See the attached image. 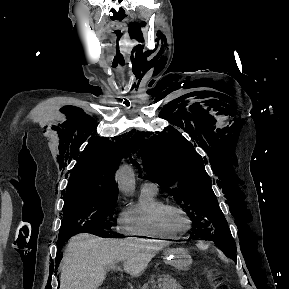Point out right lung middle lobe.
Wrapping results in <instances>:
<instances>
[{
    "mask_svg": "<svg viewBox=\"0 0 289 289\" xmlns=\"http://www.w3.org/2000/svg\"><path fill=\"white\" fill-rule=\"evenodd\" d=\"M118 194L82 195L66 198L58 241L66 242L72 235L92 233L110 236L107 214L112 213Z\"/></svg>",
    "mask_w": 289,
    "mask_h": 289,
    "instance_id": "obj_1",
    "label": "right lung middle lobe"
}]
</instances>
